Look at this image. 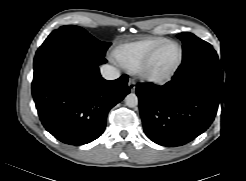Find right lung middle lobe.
Here are the masks:
<instances>
[{"mask_svg":"<svg viewBox=\"0 0 246 181\" xmlns=\"http://www.w3.org/2000/svg\"><path fill=\"white\" fill-rule=\"evenodd\" d=\"M68 44L78 47L84 53L91 57L103 61L106 50L111 45L108 42H102L91 36L86 30L75 25L61 26L54 30L36 52L35 58L43 55L49 49Z\"/></svg>","mask_w":246,"mask_h":181,"instance_id":"right-lung-middle-lobe-1","label":"right lung middle lobe"}]
</instances>
